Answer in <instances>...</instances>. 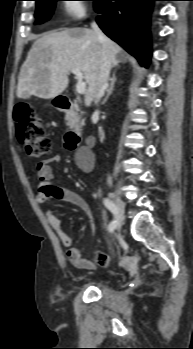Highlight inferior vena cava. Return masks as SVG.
<instances>
[{"label":"inferior vena cava","instance_id":"1","mask_svg":"<svg viewBox=\"0 0 193 349\" xmlns=\"http://www.w3.org/2000/svg\"><path fill=\"white\" fill-rule=\"evenodd\" d=\"M91 27L93 31L97 34L100 42L102 43L99 78H98V84H97V88L94 95L95 104H98V102L104 95L105 90L108 87V79H109L111 63H110V55L108 52L107 38L105 37V35L102 33V31L99 29L98 25L95 22L91 24ZM108 183H111V177H108Z\"/></svg>","mask_w":193,"mask_h":349}]
</instances>
